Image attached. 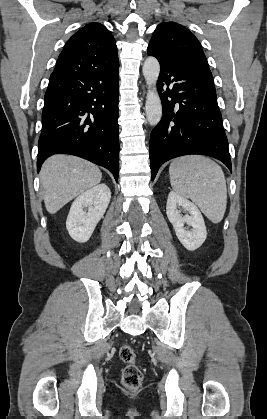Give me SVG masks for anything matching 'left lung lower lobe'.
I'll use <instances>...</instances> for the list:
<instances>
[{
	"label": "left lung lower lobe",
	"instance_id": "0a47b994",
	"mask_svg": "<svg viewBox=\"0 0 267 419\" xmlns=\"http://www.w3.org/2000/svg\"><path fill=\"white\" fill-rule=\"evenodd\" d=\"M158 61L161 71L157 89L163 117L150 137L151 179L164 162L188 154L214 157L231 170L212 74L180 63Z\"/></svg>",
	"mask_w": 267,
	"mask_h": 419
}]
</instances>
